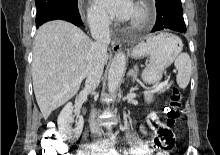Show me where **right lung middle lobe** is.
Segmentation results:
<instances>
[{
  "label": "right lung middle lobe",
  "mask_w": 220,
  "mask_h": 155,
  "mask_svg": "<svg viewBox=\"0 0 220 155\" xmlns=\"http://www.w3.org/2000/svg\"><path fill=\"white\" fill-rule=\"evenodd\" d=\"M35 3L37 15L57 8L78 10L77 0H36Z\"/></svg>",
  "instance_id": "obj_1"
}]
</instances>
